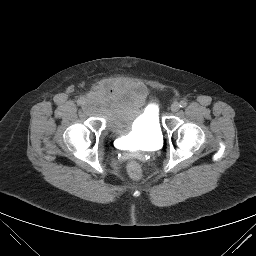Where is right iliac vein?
Masks as SVG:
<instances>
[{
    "label": "right iliac vein",
    "instance_id": "obj_1",
    "mask_svg": "<svg viewBox=\"0 0 256 256\" xmlns=\"http://www.w3.org/2000/svg\"><path fill=\"white\" fill-rule=\"evenodd\" d=\"M84 106H85L86 108H89V107L91 106V103H90L89 101H86V102L84 103Z\"/></svg>",
    "mask_w": 256,
    "mask_h": 256
}]
</instances>
